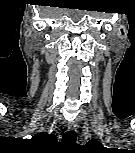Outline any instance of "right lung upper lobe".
Segmentation results:
<instances>
[{"label": "right lung upper lobe", "mask_w": 135, "mask_h": 153, "mask_svg": "<svg viewBox=\"0 0 135 153\" xmlns=\"http://www.w3.org/2000/svg\"><path fill=\"white\" fill-rule=\"evenodd\" d=\"M32 140L40 141V142H52L57 141L55 135H50L46 132H41L35 135Z\"/></svg>", "instance_id": "right-lung-upper-lobe-1"}]
</instances>
